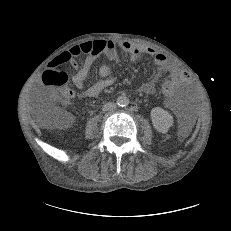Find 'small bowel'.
Returning <instances> with one entry per match:
<instances>
[{
	"mask_svg": "<svg viewBox=\"0 0 231 231\" xmlns=\"http://www.w3.org/2000/svg\"><path fill=\"white\" fill-rule=\"evenodd\" d=\"M118 47L133 57H138L141 55H149L153 57L156 65L171 74L172 79L176 82V87L184 86L188 82L186 72L178 65L172 63L164 53L157 51L154 48L136 45L129 41L119 42ZM62 55L67 57L62 64L68 63L77 70L72 77V82L77 88L83 89V97H95L113 85L114 79L111 77L110 67L108 65H102L99 68V79L84 89L88 73L97 56L104 55L110 61L117 58V50L114 42L110 40H95L74 46L51 61L49 67L53 68L58 66L60 64L59 61ZM80 55H85V59L81 65H79L76 61V58ZM154 87L155 83L153 81L149 82L144 86V91L146 93H150L154 90ZM174 101L175 99L173 95H165L164 103L167 107L171 108Z\"/></svg>",
	"mask_w": 231,
	"mask_h": 231,
	"instance_id": "c3829d8e",
	"label": "small bowel"
}]
</instances>
